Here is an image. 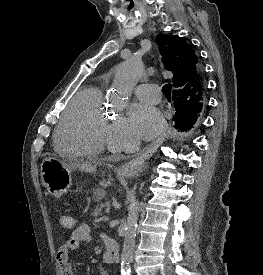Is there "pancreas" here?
Masks as SVG:
<instances>
[{
	"label": "pancreas",
	"mask_w": 263,
	"mask_h": 275,
	"mask_svg": "<svg viewBox=\"0 0 263 275\" xmlns=\"http://www.w3.org/2000/svg\"><path fill=\"white\" fill-rule=\"evenodd\" d=\"M105 196V192L103 191H95L94 194H93V198L94 200L97 202V203H100L101 200L104 198ZM102 207L103 205L102 204H98L96 206V208L94 209L92 215L95 217V218H98L99 216L102 215Z\"/></svg>",
	"instance_id": "pancreas-1"
}]
</instances>
